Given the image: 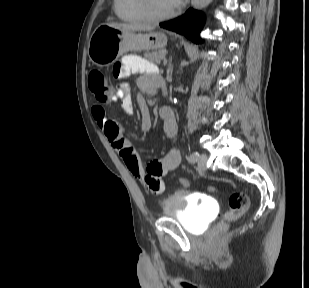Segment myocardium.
<instances>
[{
    "instance_id": "myocardium-1",
    "label": "myocardium",
    "mask_w": 309,
    "mask_h": 288,
    "mask_svg": "<svg viewBox=\"0 0 309 288\" xmlns=\"http://www.w3.org/2000/svg\"><path fill=\"white\" fill-rule=\"evenodd\" d=\"M140 7L145 17L152 22L162 21L173 17L177 13V9H173L167 13H158L154 8L153 0H139Z\"/></svg>"
}]
</instances>
